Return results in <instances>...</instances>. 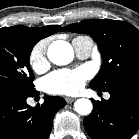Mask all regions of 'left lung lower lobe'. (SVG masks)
<instances>
[{
	"label": "left lung lower lobe",
	"instance_id": "1",
	"mask_svg": "<svg viewBox=\"0 0 139 139\" xmlns=\"http://www.w3.org/2000/svg\"><path fill=\"white\" fill-rule=\"evenodd\" d=\"M107 91L108 100L93 101V111L84 119L85 130L92 139H130L139 129V73Z\"/></svg>",
	"mask_w": 139,
	"mask_h": 139
}]
</instances>
